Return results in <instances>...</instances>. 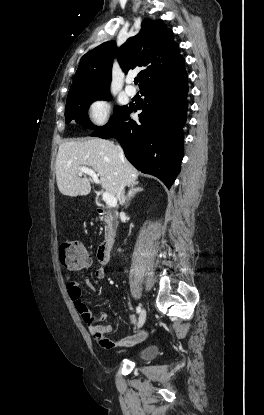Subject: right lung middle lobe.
<instances>
[{
    "label": "right lung middle lobe",
    "mask_w": 264,
    "mask_h": 415,
    "mask_svg": "<svg viewBox=\"0 0 264 415\" xmlns=\"http://www.w3.org/2000/svg\"><path fill=\"white\" fill-rule=\"evenodd\" d=\"M110 93H101V94H85L78 95L67 98L66 108H65V120L66 123L70 122L72 119L79 124H82L84 127L95 129L97 126L93 125L88 117V108L92 102L95 100H109ZM127 106H117L114 109L113 118L110 119V122L119 115Z\"/></svg>",
    "instance_id": "dd1d6c3e"
}]
</instances>
